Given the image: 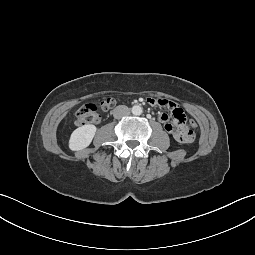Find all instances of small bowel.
I'll use <instances>...</instances> for the list:
<instances>
[{
  "mask_svg": "<svg viewBox=\"0 0 255 255\" xmlns=\"http://www.w3.org/2000/svg\"><path fill=\"white\" fill-rule=\"evenodd\" d=\"M145 104L157 110L166 109L170 111L168 115L166 112H161L159 120L164 124L173 140L179 141L183 145H190L197 139V134L189 126L185 111L178 102L173 99L148 96L145 99Z\"/></svg>",
  "mask_w": 255,
  "mask_h": 255,
  "instance_id": "small-bowel-1",
  "label": "small bowel"
}]
</instances>
